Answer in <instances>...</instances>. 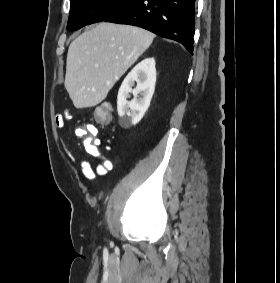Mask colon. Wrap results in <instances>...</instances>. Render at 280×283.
Masks as SVG:
<instances>
[{"mask_svg":"<svg viewBox=\"0 0 280 283\" xmlns=\"http://www.w3.org/2000/svg\"><path fill=\"white\" fill-rule=\"evenodd\" d=\"M96 119L98 120V124H111L113 115L109 106L101 105L96 107ZM85 132H98V127H83L78 130L80 135Z\"/></svg>","mask_w":280,"mask_h":283,"instance_id":"obj_1","label":"colon"}]
</instances>
